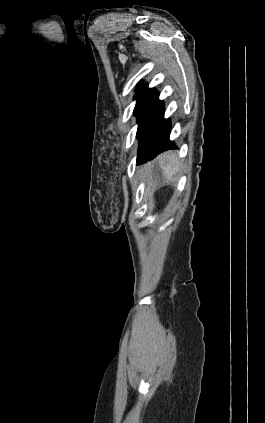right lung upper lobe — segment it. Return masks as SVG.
I'll list each match as a JSON object with an SVG mask.
<instances>
[{
	"mask_svg": "<svg viewBox=\"0 0 265 423\" xmlns=\"http://www.w3.org/2000/svg\"><path fill=\"white\" fill-rule=\"evenodd\" d=\"M154 92V88H148L147 85L140 86L137 90L136 97H148Z\"/></svg>",
	"mask_w": 265,
	"mask_h": 423,
	"instance_id": "1",
	"label": "right lung upper lobe"
}]
</instances>
